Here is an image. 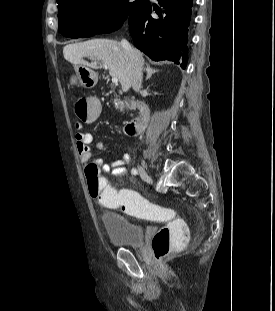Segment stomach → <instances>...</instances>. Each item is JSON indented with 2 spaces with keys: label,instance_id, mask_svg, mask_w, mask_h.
<instances>
[{
  "label": "stomach",
  "instance_id": "0dacf381",
  "mask_svg": "<svg viewBox=\"0 0 275 311\" xmlns=\"http://www.w3.org/2000/svg\"><path fill=\"white\" fill-rule=\"evenodd\" d=\"M75 74L69 78V86L93 87L97 83V76L94 71L86 66L76 65L74 67Z\"/></svg>",
  "mask_w": 275,
  "mask_h": 311
}]
</instances>
